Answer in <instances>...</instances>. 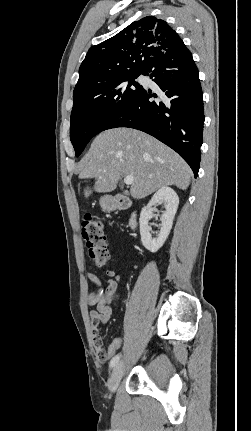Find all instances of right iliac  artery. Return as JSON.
<instances>
[{
    "label": "right iliac artery",
    "mask_w": 251,
    "mask_h": 431,
    "mask_svg": "<svg viewBox=\"0 0 251 431\" xmlns=\"http://www.w3.org/2000/svg\"><path fill=\"white\" fill-rule=\"evenodd\" d=\"M119 358H120V355L118 354V355H116V356H114L113 358H112V360L110 361V367L112 368V367H114L116 364H117V362L119 361Z\"/></svg>",
    "instance_id": "82829eb1"
}]
</instances>
